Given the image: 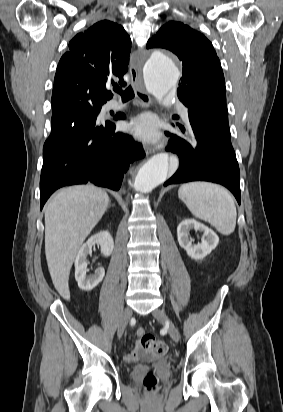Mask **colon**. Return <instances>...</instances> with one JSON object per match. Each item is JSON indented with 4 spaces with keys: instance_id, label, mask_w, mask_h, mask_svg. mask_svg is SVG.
<instances>
[{
    "instance_id": "colon-1",
    "label": "colon",
    "mask_w": 283,
    "mask_h": 412,
    "mask_svg": "<svg viewBox=\"0 0 283 412\" xmlns=\"http://www.w3.org/2000/svg\"><path fill=\"white\" fill-rule=\"evenodd\" d=\"M143 349L147 350L154 356H162L166 354L168 347L166 343L154 338L152 335L143 334L140 339ZM143 386L146 392L154 393L157 389V378L154 373L149 372L143 379Z\"/></svg>"
}]
</instances>
